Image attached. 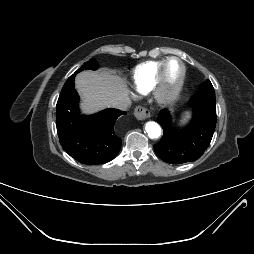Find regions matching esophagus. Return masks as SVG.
Segmentation results:
<instances>
[{"instance_id":"34e87169","label":"esophagus","mask_w":254,"mask_h":254,"mask_svg":"<svg viewBox=\"0 0 254 254\" xmlns=\"http://www.w3.org/2000/svg\"><path fill=\"white\" fill-rule=\"evenodd\" d=\"M134 116L138 120H146L150 117V111L143 106H137L134 110Z\"/></svg>"}]
</instances>
